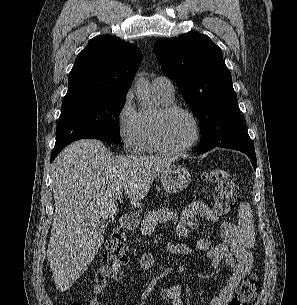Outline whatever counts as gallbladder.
<instances>
[{
	"label": "gallbladder",
	"instance_id": "obj_1",
	"mask_svg": "<svg viewBox=\"0 0 297 305\" xmlns=\"http://www.w3.org/2000/svg\"><path fill=\"white\" fill-rule=\"evenodd\" d=\"M96 229H97V231H98L99 233L102 234V233L105 232V230L107 229V222L101 220V221L97 224Z\"/></svg>",
	"mask_w": 297,
	"mask_h": 305
}]
</instances>
